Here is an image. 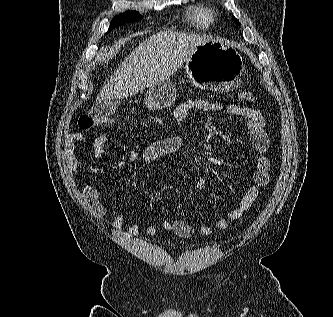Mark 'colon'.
I'll list each match as a JSON object with an SVG mask.
<instances>
[{"label": "colon", "instance_id": "5ec220e1", "mask_svg": "<svg viewBox=\"0 0 333 317\" xmlns=\"http://www.w3.org/2000/svg\"><path fill=\"white\" fill-rule=\"evenodd\" d=\"M238 97L242 101L251 103L254 100V96L249 91H239ZM108 122V119L101 115H92V114H84L79 119V126L86 131L97 128L101 125H104Z\"/></svg>", "mask_w": 333, "mask_h": 317}]
</instances>
